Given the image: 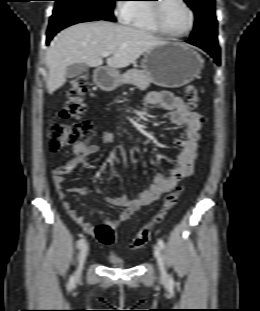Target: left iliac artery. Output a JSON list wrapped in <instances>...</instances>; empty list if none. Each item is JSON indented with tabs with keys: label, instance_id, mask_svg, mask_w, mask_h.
I'll return each mask as SVG.
<instances>
[{
	"label": "left iliac artery",
	"instance_id": "left-iliac-artery-1",
	"mask_svg": "<svg viewBox=\"0 0 260 311\" xmlns=\"http://www.w3.org/2000/svg\"><path fill=\"white\" fill-rule=\"evenodd\" d=\"M158 244H159V246H160L161 249H164V248H165V244H164V241H163L162 239H159V240H158ZM169 280H170V282H173V278H172L171 275H169Z\"/></svg>",
	"mask_w": 260,
	"mask_h": 311
}]
</instances>
